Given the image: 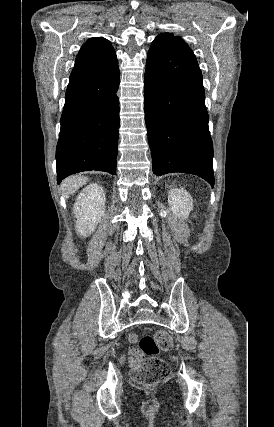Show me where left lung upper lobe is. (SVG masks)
<instances>
[{
  "instance_id": "obj_1",
  "label": "left lung upper lobe",
  "mask_w": 274,
  "mask_h": 427,
  "mask_svg": "<svg viewBox=\"0 0 274 427\" xmlns=\"http://www.w3.org/2000/svg\"><path fill=\"white\" fill-rule=\"evenodd\" d=\"M158 37H174V35L171 33H164V34H160Z\"/></svg>"
}]
</instances>
